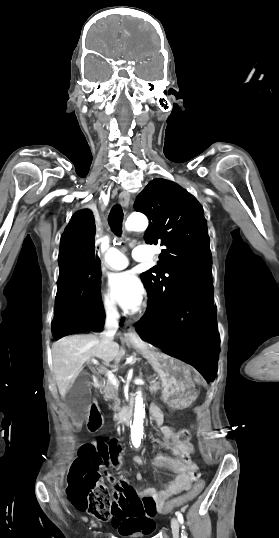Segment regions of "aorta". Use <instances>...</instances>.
I'll return each instance as SVG.
<instances>
[{"label": "aorta", "mask_w": 279, "mask_h": 538, "mask_svg": "<svg viewBox=\"0 0 279 538\" xmlns=\"http://www.w3.org/2000/svg\"><path fill=\"white\" fill-rule=\"evenodd\" d=\"M148 227V219L143 214L134 213L131 214L125 223V228L128 231H145ZM145 416V409L143 405V398L141 391L135 399V412L134 421L131 426V440L135 447H139L141 439L143 437V418Z\"/></svg>", "instance_id": "1"}]
</instances>
